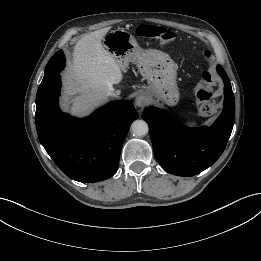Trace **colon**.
I'll list each match as a JSON object with an SVG mask.
<instances>
[{"label": "colon", "mask_w": 261, "mask_h": 261, "mask_svg": "<svg viewBox=\"0 0 261 261\" xmlns=\"http://www.w3.org/2000/svg\"><path fill=\"white\" fill-rule=\"evenodd\" d=\"M137 33L144 38L157 40L164 45L170 44L176 38L174 32L163 27L152 25H140L137 28ZM203 58L207 63H210L211 53L209 51H204ZM214 86L215 76L211 73V71L208 70L206 72H202L198 76L196 97L200 103L201 112L207 116L213 115L217 110L216 103L213 99Z\"/></svg>", "instance_id": "colon-1"}]
</instances>
